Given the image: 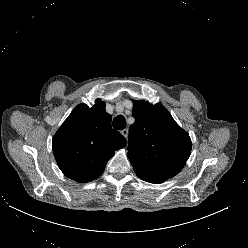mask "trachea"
Masks as SVG:
<instances>
[{"label":"trachea","instance_id":"obj_1","mask_svg":"<svg viewBox=\"0 0 248 248\" xmlns=\"http://www.w3.org/2000/svg\"><path fill=\"white\" fill-rule=\"evenodd\" d=\"M113 128L122 130L126 127V119L123 115H118L113 120Z\"/></svg>","mask_w":248,"mask_h":248}]
</instances>
